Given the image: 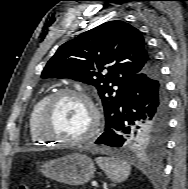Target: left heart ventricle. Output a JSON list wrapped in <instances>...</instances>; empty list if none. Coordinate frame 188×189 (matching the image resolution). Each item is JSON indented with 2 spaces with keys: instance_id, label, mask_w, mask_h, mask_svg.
Wrapping results in <instances>:
<instances>
[{
  "instance_id": "1",
  "label": "left heart ventricle",
  "mask_w": 188,
  "mask_h": 189,
  "mask_svg": "<svg viewBox=\"0 0 188 189\" xmlns=\"http://www.w3.org/2000/svg\"><path fill=\"white\" fill-rule=\"evenodd\" d=\"M92 123L88 104L78 98L65 97L57 101L47 122L51 135L74 139L84 135Z\"/></svg>"
}]
</instances>
